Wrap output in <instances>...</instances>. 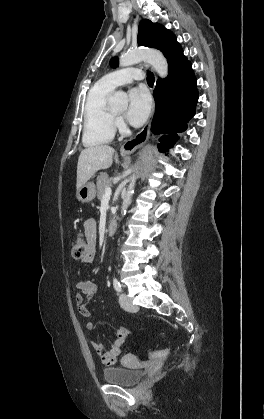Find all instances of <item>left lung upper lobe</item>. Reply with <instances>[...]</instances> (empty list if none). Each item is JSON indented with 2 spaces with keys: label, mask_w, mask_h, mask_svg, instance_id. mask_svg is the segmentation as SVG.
Returning <instances> with one entry per match:
<instances>
[{
  "label": "left lung upper lobe",
  "mask_w": 264,
  "mask_h": 419,
  "mask_svg": "<svg viewBox=\"0 0 264 419\" xmlns=\"http://www.w3.org/2000/svg\"><path fill=\"white\" fill-rule=\"evenodd\" d=\"M175 41V35L171 31L165 29L162 25L153 23L147 19H143L139 23V32L137 36L139 46L156 48L163 53L169 51ZM117 61L116 57L112 58L110 66L115 68Z\"/></svg>",
  "instance_id": "left-lung-upper-lobe-1"
}]
</instances>
